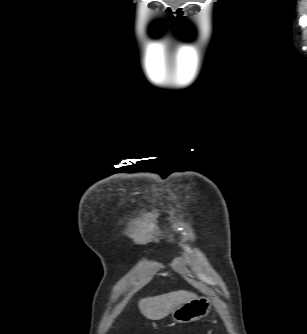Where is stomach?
<instances>
[{
	"label": "stomach",
	"instance_id": "0dacf381",
	"mask_svg": "<svg viewBox=\"0 0 307 334\" xmlns=\"http://www.w3.org/2000/svg\"><path fill=\"white\" fill-rule=\"evenodd\" d=\"M210 310L209 299L206 297H197L174 309L171 312V317L178 323H189L207 316Z\"/></svg>",
	"mask_w": 307,
	"mask_h": 334
}]
</instances>
